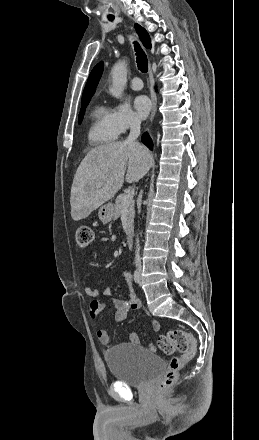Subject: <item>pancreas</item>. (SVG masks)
Returning a JSON list of instances; mask_svg holds the SVG:
<instances>
[{
    "mask_svg": "<svg viewBox=\"0 0 259 440\" xmlns=\"http://www.w3.org/2000/svg\"><path fill=\"white\" fill-rule=\"evenodd\" d=\"M125 195L126 194H121L116 198L115 205H114V217L118 218L121 215L122 210L124 208H126L127 209V231L129 232V231H131L132 226H133L135 211H134V202L133 201H131L127 205L123 204V197Z\"/></svg>",
    "mask_w": 259,
    "mask_h": 440,
    "instance_id": "pancreas-1",
    "label": "pancreas"
}]
</instances>
